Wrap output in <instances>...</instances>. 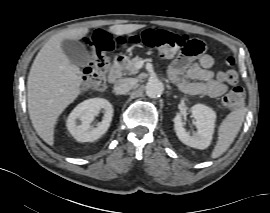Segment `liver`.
I'll use <instances>...</instances> for the list:
<instances>
[{
  "label": "liver",
  "instance_id": "obj_1",
  "mask_svg": "<svg viewBox=\"0 0 270 213\" xmlns=\"http://www.w3.org/2000/svg\"><path fill=\"white\" fill-rule=\"evenodd\" d=\"M146 27L142 24L113 25L109 31L125 35ZM88 28L64 30L52 36L37 54L27 81L30 119L37 134L52 146L58 117L81 93L82 73L61 48L64 39L78 40Z\"/></svg>",
  "mask_w": 270,
  "mask_h": 213
}]
</instances>
